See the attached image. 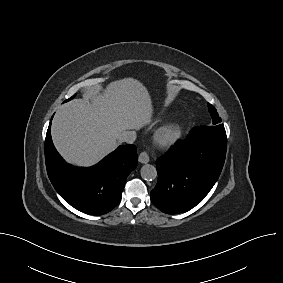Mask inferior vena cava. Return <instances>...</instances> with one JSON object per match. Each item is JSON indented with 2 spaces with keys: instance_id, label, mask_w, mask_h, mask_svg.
I'll use <instances>...</instances> for the list:
<instances>
[{
  "instance_id": "602c4592",
  "label": "inferior vena cava",
  "mask_w": 283,
  "mask_h": 283,
  "mask_svg": "<svg viewBox=\"0 0 283 283\" xmlns=\"http://www.w3.org/2000/svg\"><path fill=\"white\" fill-rule=\"evenodd\" d=\"M118 140L120 142L133 143L136 140V132L124 131L123 133H121Z\"/></svg>"
}]
</instances>
